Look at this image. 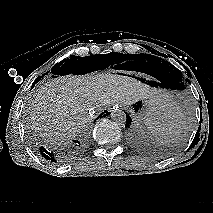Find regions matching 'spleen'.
<instances>
[{
    "instance_id": "3e777b00",
    "label": "spleen",
    "mask_w": 213,
    "mask_h": 213,
    "mask_svg": "<svg viewBox=\"0 0 213 213\" xmlns=\"http://www.w3.org/2000/svg\"><path fill=\"white\" fill-rule=\"evenodd\" d=\"M183 114L175 105H169L158 113L153 122L147 124L148 129L161 143L177 136L183 126Z\"/></svg>"
}]
</instances>
